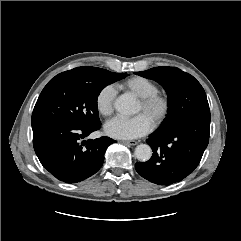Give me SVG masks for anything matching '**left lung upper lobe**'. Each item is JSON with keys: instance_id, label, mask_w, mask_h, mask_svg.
Segmentation results:
<instances>
[{"instance_id": "1", "label": "left lung upper lobe", "mask_w": 241, "mask_h": 241, "mask_svg": "<svg viewBox=\"0 0 241 241\" xmlns=\"http://www.w3.org/2000/svg\"><path fill=\"white\" fill-rule=\"evenodd\" d=\"M135 74L157 81L167 92L168 114L159 130L169 131L191 120L210 117L205 91L192 75L176 67H154Z\"/></svg>"}]
</instances>
